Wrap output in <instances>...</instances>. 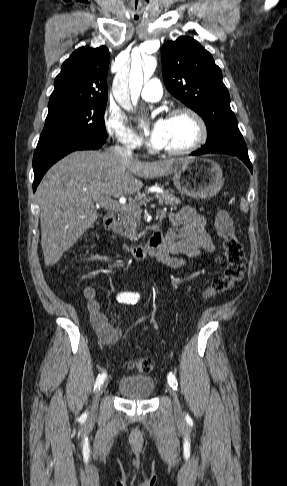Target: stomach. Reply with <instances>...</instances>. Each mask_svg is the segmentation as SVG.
<instances>
[{
    "mask_svg": "<svg viewBox=\"0 0 287 486\" xmlns=\"http://www.w3.org/2000/svg\"><path fill=\"white\" fill-rule=\"evenodd\" d=\"M172 180L181 194L197 199L213 197L224 184L220 165L206 158H191L181 164Z\"/></svg>",
    "mask_w": 287,
    "mask_h": 486,
    "instance_id": "obj_1",
    "label": "stomach"
}]
</instances>
